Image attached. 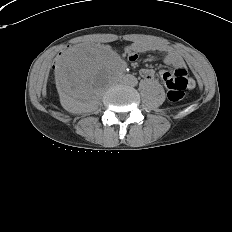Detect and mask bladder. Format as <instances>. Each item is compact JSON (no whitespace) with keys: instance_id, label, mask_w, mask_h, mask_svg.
Wrapping results in <instances>:
<instances>
[{"instance_id":"obj_1","label":"bladder","mask_w":232,"mask_h":232,"mask_svg":"<svg viewBox=\"0 0 232 232\" xmlns=\"http://www.w3.org/2000/svg\"><path fill=\"white\" fill-rule=\"evenodd\" d=\"M75 49H78V47H74V50H75Z\"/></svg>"}]
</instances>
